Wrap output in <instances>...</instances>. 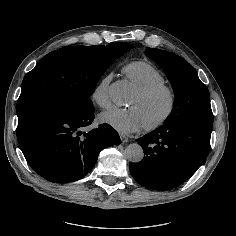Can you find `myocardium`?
Listing matches in <instances>:
<instances>
[{"instance_id": "myocardium-1", "label": "myocardium", "mask_w": 236, "mask_h": 236, "mask_svg": "<svg viewBox=\"0 0 236 236\" xmlns=\"http://www.w3.org/2000/svg\"><path fill=\"white\" fill-rule=\"evenodd\" d=\"M162 94L166 95L168 98L167 111L165 112L163 117L160 118L158 121L145 125L144 128L147 131L158 130L163 126H165L170 121L177 108V103H178L177 92L173 86L165 83L146 90L136 91V95L142 101H150Z\"/></svg>"}]
</instances>
